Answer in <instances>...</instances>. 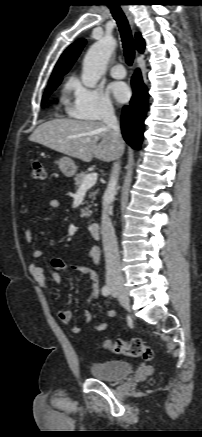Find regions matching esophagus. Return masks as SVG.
<instances>
[{
  "label": "esophagus",
  "mask_w": 202,
  "mask_h": 437,
  "mask_svg": "<svg viewBox=\"0 0 202 437\" xmlns=\"http://www.w3.org/2000/svg\"><path fill=\"white\" fill-rule=\"evenodd\" d=\"M123 10H124V12H125V14H126L128 20H129V22H130L132 28H134L133 17H132V14L130 13L129 9H128L127 7H123Z\"/></svg>",
  "instance_id": "obj_1"
}]
</instances>
